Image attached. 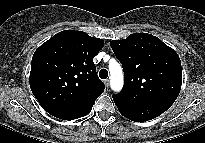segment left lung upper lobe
Listing matches in <instances>:
<instances>
[{
	"label": "left lung upper lobe",
	"mask_w": 205,
	"mask_h": 143,
	"mask_svg": "<svg viewBox=\"0 0 205 143\" xmlns=\"http://www.w3.org/2000/svg\"><path fill=\"white\" fill-rule=\"evenodd\" d=\"M110 46L125 75L123 89L113 96L130 104L176 100L182 72L180 58L172 48L147 33L111 41Z\"/></svg>",
	"instance_id": "5c2ea615"
}]
</instances>
